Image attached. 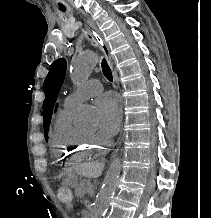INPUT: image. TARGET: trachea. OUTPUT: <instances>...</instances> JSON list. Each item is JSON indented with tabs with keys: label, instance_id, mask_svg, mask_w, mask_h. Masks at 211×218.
Listing matches in <instances>:
<instances>
[{
	"label": "trachea",
	"instance_id": "1",
	"mask_svg": "<svg viewBox=\"0 0 211 218\" xmlns=\"http://www.w3.org/2000/svg\"><path fill=\"white\" fill-rule=\"evenodd\" d=\"M102 72H103V75L107 78V80H109L110 82L113 81L111 68H109V65L107 64L105 58H103L102 60Z\"/></svg>",
	"mask_w": 211,
	"mask_h": 218
}]
</instances>
